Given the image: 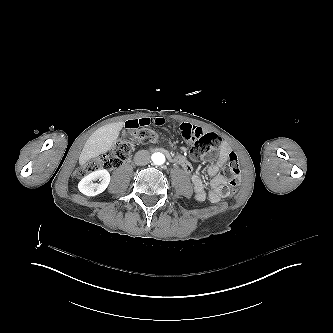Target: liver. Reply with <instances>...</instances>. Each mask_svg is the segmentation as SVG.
Segmentation results:
<instances>
[{
	"instance_id": "obj_1",
	"label": "liver",
	"mask_w": 333,
	"mask_h": 333,
	"mask_svg": "<svg viewBox=\"0 0 333 333\" xmlns=\"http://www.w3.org/2000/svg\"><path fill=\"white\" fill-rule=\"evenodd\" d=\"M123 126L124 122H115L98 128L86 141L79 156V164L84 165L91 158L110 150Z\"/></svg>"
}]
</instances>
